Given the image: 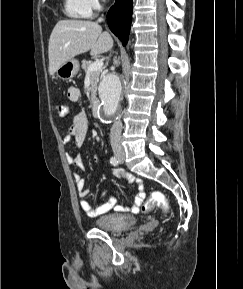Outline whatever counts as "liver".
Wrapping results in <instances>:
<instances>
[{
    "label": "liver",
    "mask_w": 243,
    "mask_h": 289,
    "mask_svg": "<svg viewBox=\"0 0 243 289\" xmlns=\"http://www.w3.org/2000/svg\"><path fill=\"white\" fill-rule=\"evenodd\" d=\"M113 39L102 32L98 23L85 20H60L49 39V73L54 75L58 68L75 56L90 51L92 56L112 49Z\"/></svg>",
    "instance_id": "obj_1"
}]
</instances>
